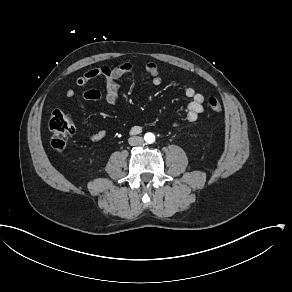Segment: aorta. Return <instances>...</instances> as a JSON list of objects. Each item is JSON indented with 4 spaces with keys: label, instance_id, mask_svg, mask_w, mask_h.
<instances>
[{
    "label": "aorta",
    "instance_id": "obj_1",
    "mask_svg": "<svg viewBox=\"0 0 292 292\" xmlns=\"http://www.w3.org/2000/svg\"><path fill=\"white\" fill-rule=\"evenodd\" d=\"M145 140H146V142H148V143H152V142H154V140H155V136H154V134H152V133H147V134L145 135Z\"/></svg>",
    "mask_w": 292,
    "mask_h": 292
}]
</instances>
